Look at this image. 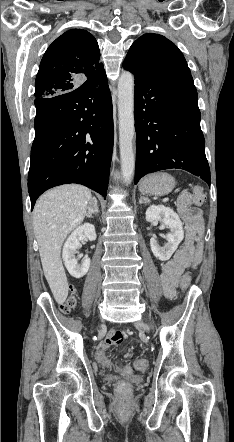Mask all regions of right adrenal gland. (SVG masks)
<instances>
[{
	"label": "right adrenal gland",
	"instance_id": "obj_1",
	"mask_svg": "<svg viewBox=\"0 0 234 442\" xmlns=\"http://www.w3.org/2000/svg\"><path fill=\"white\" fill-rule=\"evenodd\" d=\"M99 213L97 200L95 197H93L89 203L88 206V213L86 214L87 217L92 218L93 214Z\"/></svg>",
	"mask_w": 234,
	"mask_h": 442
}]
</instances>
